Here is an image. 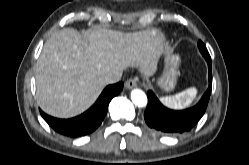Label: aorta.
I'll list each match as a JSON object with an SVG mask.
<instances>
[{
    "mask_svg": "<svg viewBox=\"0 0 249 165\" xmlns=\"http://www.w3.org/2000/svg\"><path fill=\"white\" fill-rule=\"evenodd\" d=\"M131 100L138 107H144L147 105V96L140 89H134L131 91Z\"/></svg>",
    "mask_w": 249,
    "mask_h": 165,
    "instance_id": "aorta-1",
    "label": "aorta"
}]
</instances>
